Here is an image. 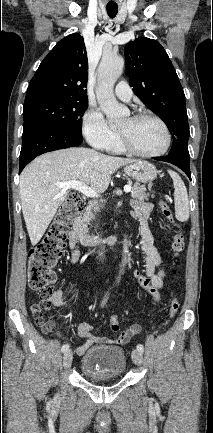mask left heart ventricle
Listing matches in <instances>:
<instances>
[{"label": "left heart ventricle", "mask_w": 213, "mask_h": 433, "mask_svg": "<svg viewBox=\"0 0 213 433\" xmlns=\"http://www.w3.org/2000/svg\"><path fill=\"white\" fill-rule=\"evenodd\" d=\"M133 147L147 153L160 151L166 141L162 127L151 119L134 121L127 118L118 129Z\"/></svg>", "instance_id": "left-heart-ventricle-1"}]
</instances>
